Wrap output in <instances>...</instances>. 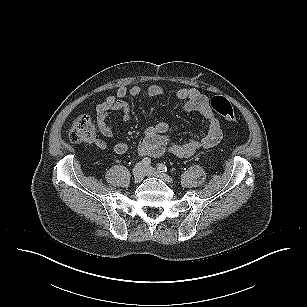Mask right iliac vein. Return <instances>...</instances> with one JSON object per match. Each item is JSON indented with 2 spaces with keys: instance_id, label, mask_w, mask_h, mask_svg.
Listing matches in <instances>:
<instances>
[{
  "instance_id": "1",
  "label": "right iliac vein",
  "mask_w": 307,
  "mask_h": 307,
  "mask_svg": "<svg viewBox=\"0 0 307 307\" xmlns=\"http://www.w3.org/2000/svg\"><path fill=\"white\" fill-rule=\"evenodd\" d=\"M145 176V166L139 162L133 168V177L136 182H141Z\"/></svg>"
}]
</instances>
